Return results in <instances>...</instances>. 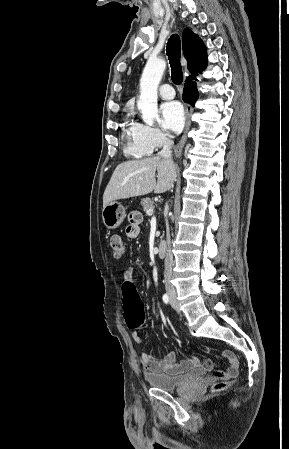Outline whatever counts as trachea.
Wrapping results in <instances>:
<instances>
[{
	"instance_id": "1",
	"label": "trachea",
	"mask_w": 289,
	"mask_h": 449,
	"mask_svg": "<svg viewBox=\"0 0 289 449\" xmlns=\"http://www.w3.org/2000/svg\"><path fill=\"white\" fill-rule=\"evenodd\" d=\"M167 56L171 66V80L174 84L180 85L183 82V72L180 63L181 42L177 34L172 35L167 42Z\"/></svg>"
}]
</instances>
